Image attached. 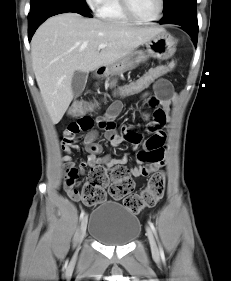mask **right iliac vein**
<instances>
[{
	"label": "right iliac vein",
	"mask_w": 231,
	"mask_h": 281,
	"mask_svg": "<svg viewBox=\"0 0 231 281\" xmlns=\"http://www.w3.org/2000/svg\"><path fill=\"white\" fill-rule=\"evenodd\" d=\"M87 216L85 215L81 221V226H80V231H79V235H78V242L80 243L86 233V228H87Z\"/></svg>",
	"instance_id": "63e3f726"
}]
</instances>
